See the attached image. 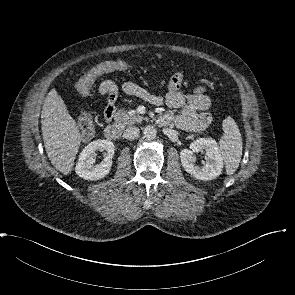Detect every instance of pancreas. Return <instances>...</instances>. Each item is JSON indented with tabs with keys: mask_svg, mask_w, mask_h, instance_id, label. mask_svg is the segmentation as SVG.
I'll return each mask as SVG.
<instances>
[{
	"mask_svg": "<svg viewBox=\"0 0 295 295\" xmlns=\"http://www.w3.org/2000/svg\"><path fill=\"white\" fill-rule=\"evenodd\" d=\"M144 118L135 111L118 110L115 115V122L120 127L140 123Z\"/></svg>",
	"mask_w": 295,
	"mask_h": 295,
	"instance_id": "1",
	"label": "pancreas"
}]
</instances>
